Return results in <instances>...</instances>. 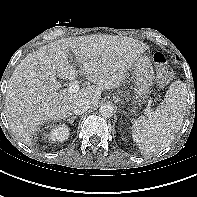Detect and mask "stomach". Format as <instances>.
Segmentation results:
<instances>
[{"label": "stomach", "mask_w": 197, "mask_h": 197, "mask_svg": "<svg viewBox=\"0 0 197 197\" xmlns=\"http://www.w3.org/2000/svg\"><path fill=\"white\" fill-rule=\"evenodd\" d=\"M134 76V103L143 104L149 98L154 81V71L150 59L140 55L131 65Z\"/></svg>", "instance_id": "obj_1"}]
</instances>
